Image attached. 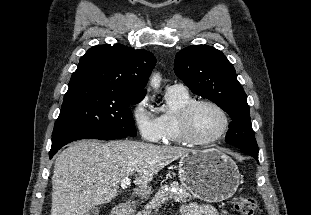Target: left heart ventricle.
<instances>
[{
  "mask_svg": "<svg viewBox=\"0 0 311 215\" xmlns=\"http://www.w3.org/2000/svg\"><path fill=\"white\" fill-rule=\"evenodd\" d=\"M223 118L212 106H199L192 118V130L199 139H208L216 135L222 128Z\"/></svg>",
  "mask_w": 311,
  "mask_h": 215,
  "instance_id": "left-heart-ventricle-1",
  "label": "left heart ventricle"
}]
</instances>
